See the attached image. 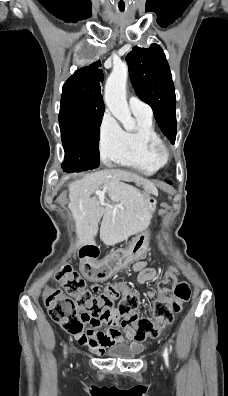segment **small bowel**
<instances>
[{"instance_id": "1", "label": "small bowel", "mask_w": 228, "mask_h": 396, "mask_svg": "<svg viewBox=\"0 0 228 396\" xmlns=\"http://www.w3.org/2000/svg\"><path fill=\"white\" fill-rule=\"evenodd\" d=\"M132 260L133 256L131 253L128 251H119L97 264L84 263L82 265V271L88 276L104 278L124 268L131 263ZM133 271L137 274V281L139 284H145L151 281L156 275V271L148 267L147 262L144 260L135 262L133 264ZM94 291H98V287H94ZM156 293L157 291L155 289H151L146 295L149 298H153ZM112 314L115 319H120L117 310L113 309ZM75 338L81 345L87 346L96 354H102L108 346L119 343L129 344L137 352L143 349V345L135 339L134 331L130 328H121L117 326H110L99 330L89 328L75 335Z\"/></svg>"}]
</instances>
